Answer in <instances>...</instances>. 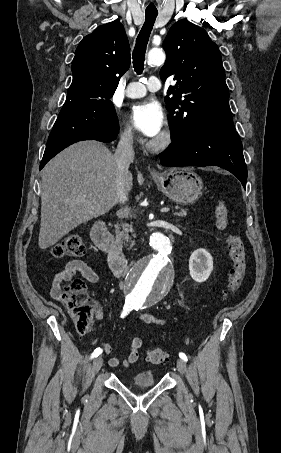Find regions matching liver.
Instances as JSON below:
<instances>
[{
	"label": "liver",
	"mask_w": 281,
	"mask_h": 453,
	"mask_svg": "<svg viewBox=\"0 0 281 453\" xmlns=\"http://www.w3.org/2000/svg\"><path fill=\"white\" fill-rule=\"evenodd\" d=\"M116 170L114 154L98 140L75 142L47 162L42 170L40 249L115 206ZM132 180L128 172L126 192Z\"/></svg>",
	"instance_id": "obj_1"
}]
</instances>
